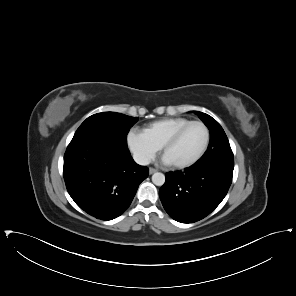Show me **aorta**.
Returning a JSON list of instances; mask_svg holds the SVG:
<instances>
[{
    "instance_id": "1",
    "label": "aorta",
    "mask_w": 296,
    "mask_h": 296,
    "mask_svg": "<svg viewBox=\"0 0 296 296\" xmlns=\"http://www.w3.org/2000/svg\"><path fill=\"white\" fill-rule=\"evenodd\" d=\"M152 182L156 186H162L165 183V175L160 172H156L152 175Z\"/></svg>"
}]
</instances>
